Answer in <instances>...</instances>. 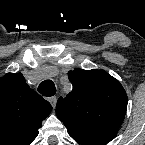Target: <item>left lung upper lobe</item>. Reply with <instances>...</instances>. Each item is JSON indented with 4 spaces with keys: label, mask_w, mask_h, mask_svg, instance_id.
Wrapping results in <instances>:
<instances>
[{
    "label": "left lung upper lobe",
    "mask_w": 145,
    "mask_h": 145,
    "mask_svg": "<svg viewBox=\"0 0 145 145\" xmlns=\"http://www.w3.org/2000/svg\"><path fill=\"white\" fill-rule=\"evenodd\" d=\"M73 85L56 106L57 117L67 126L119 129L126 113L128 98L119 81L103 70L68 72Z\"/></svg>",
    "instance_id": "obj_1"
}]
</instances>
